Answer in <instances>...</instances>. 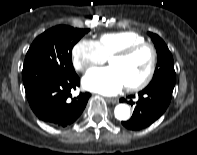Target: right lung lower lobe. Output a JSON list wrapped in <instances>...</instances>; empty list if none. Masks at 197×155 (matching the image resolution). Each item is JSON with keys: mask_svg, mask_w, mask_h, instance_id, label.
Here are the masks:
<instances>
[{"mask_svg": "<svg viewBox=\"0 0 197 155\" xmlns=\"http://www.w3.org/2000/svg\"><path fill=\"white\" fill-rule=\"evenodd\" d=\"M79 86L76 73L69 74L56 80L47 81L26 93L31 109L36 116L58 127L72 124L83 112L90 93H80L77 98L67 101L71 97V89Z\"/></svg>", "mask_w": 197, "mask_h": 155, "instance_id": "1", "label": "right lung lower lobe"}]
</instances>
